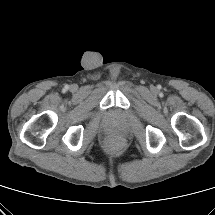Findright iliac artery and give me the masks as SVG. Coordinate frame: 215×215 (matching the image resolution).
<instances>
[{
	"mask_svg": "<svg viewBox=\"0 0 215 215\" xmlns=\"http://www.w3.org/2000/svg\"><path fill=\"white\" fill-rule=\"evenodd\" d=\"M68 88H69L68 86H65V87H64V90H68Z\"/></svg>",
	"mask_w": 215,
	"mask_h": 215,
	"instance_id": "82829eb1",
	"label": "right iliac artery"
}]
</instances>
